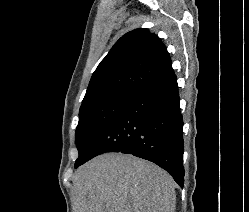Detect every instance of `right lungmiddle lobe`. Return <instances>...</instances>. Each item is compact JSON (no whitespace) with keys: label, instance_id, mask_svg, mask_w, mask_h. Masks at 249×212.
<instances>
[{"label":"right lung middle lobe","instance_id":"1","mask_svg":"<svg viewBox=\"0 0 249 212\" xmlns=\"http://www.w3.org/2000/svg\"><path fill=\"white\" fill-rule=\"evenodd\" d=\"M139 93L115 91L101 94L83 101L79 112V123L75 133L79 157L75 168L82 165L97 139Z\"/></svg>","mask_w":249,"mask_h":212}]
</instances>
